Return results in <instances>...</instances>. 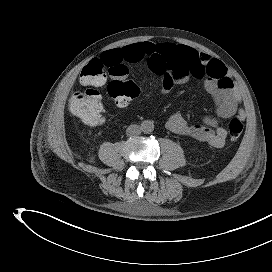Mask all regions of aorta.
I'll return each instance as SVG.
<instances>
[{"mask_svg":"<svg viewBox=\"0 0 272 272\" xmlns=\"http://www.w3.org/2000/svg\"><path fill=\"white\" fill-rule=\"evenodd\" d=\"M141 129L145 134H149L154 130V124L151 120H145L141 124Z\"/></svg>","mask_w":272,"mask_h":272,"instance_id":"aorta-1","label":"aorta"}]
</instances>
